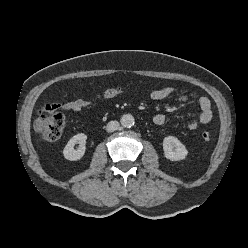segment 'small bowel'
Returning a JSON list of instances; mask_svg holds the SVG:
<instances>
[{
  "instance_id": "c3829d8e",
  "label": "small bowel",
  "mask_w": 248,
  "mask_h": 248,
  "mask_svg": "<svg viewBox=\"0 0 248 248\" xmlns=\"http://www.w3.org/2000/svg\"><path fill=\"white\" fill-rule=\"evenodd\" d=\"M149 95L152 100H156V101L163 100V99L170 98V97H174L178 101H187L189 99V95L184 94V93H177V90L171 86L154 89L150 92ZM198 103L200 107L199 119L197 121H192L188 123L187 127L190 130H195L199 126L209 123L213 116L211 101L208 97L200 96ZM92 104L93 102H91L90 100L77 99L74 101L47 105L44 109L45 111H54L57 109H61L67 112H76L86 107H89ZM153 121L156 125L160 126L165 123L166 117L163 114H157L154 116Z\"/></svg>"
}]
</instances>
